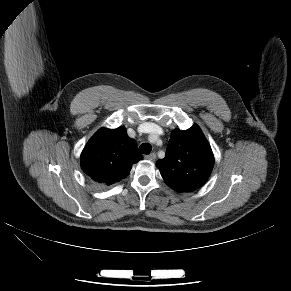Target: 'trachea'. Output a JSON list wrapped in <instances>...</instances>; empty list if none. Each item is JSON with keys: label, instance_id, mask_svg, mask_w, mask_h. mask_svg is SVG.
<instances>
[{"label": "trachea", "instance_id": "1", "mask_svg": "<svg viewBox=\"0 0 291 291\" xmlns=\"http://www.w3.org/2000/svg\"><path fill=\"white\" fill-rule=\"evenodd\" d=\"M152 150V147L150 144L148 143H142L139 147V151L142 153V154H150Z\"/></svg>", "mask_w": 291, "mask_h": 291}]
</instances>
